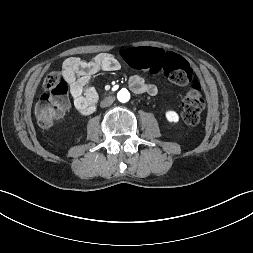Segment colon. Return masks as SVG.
Here are the masks:
<instances>
[{"label": "colon", "instance_id": "colon-1", "mask_svg": "<svg viewBox=\"0 0 253 253\" xmlns=\"http://www.w3.org/2000/svg\"><path fill=\"white\" fill-rule=\"evenodd\" d=\"M122 65L128 71L146 76H166L173 83L188 87L183 103L182 118L187 125L199 123L204 108L201 84L193 77V69L180 55L162 47H131L122 56ZM44 94L35 106L38 123L50 127L68 107V82L57 72H50L43 82Z\"/></svg>", "mask_w": 253, "mask_h": 253}]
</instances>
